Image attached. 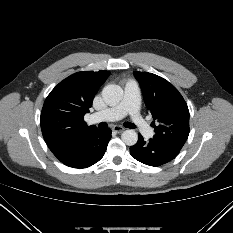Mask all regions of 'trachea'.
I'll return each instance as SVG.
<instances>
[{
  "label": "trachea",
  "mask_w": 233,
  "mask_h": 233,
  "mask_svg": "<svg viewBox=\"0 0 233 233\" xmlns=\"http://www.w3.org/2000/svg\"><path fill=\"white\" fill-rule=\"evenodd\" d=\"M124 126L125 127H127V128H131V129H134L135 128V125L133 124V123H125L124 124ZM99 127L101 128V129H105L106 127H107V124L106 123H100L99 124Z\"/></svg>",
  "instance_id": "3493384b"
}]
</instances>
